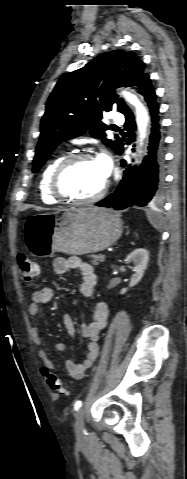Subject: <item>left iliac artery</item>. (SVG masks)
I'll return each instance as SVG.
<instances>
[{"label": "left iliac artery", "instance_id": "1", "mask_svg": "<svg viewBox=\"0 0 187 479\" xmlns=\"http://www.w3.org/2000/svg\"><path fill=\"white\" fill-rule=\"evenodd\" d=\"M81 406H82V402L79 400L74 404V409L78 411Z\"/></svg>", "mask_w": 187, "mask_h": 479}]
</instances>
